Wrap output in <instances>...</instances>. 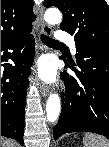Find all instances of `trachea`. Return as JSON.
<instances>
[{
  "label": "trachea",
  "mask_w": 109,
  "mask_h": 147,
  "mask_svg": "<svg viewBox=\"0 0 109 147\" xmlns=\"http://www.w3.org/2000/svg\"><path fill=\"white\" fill-rule=\"evenodd\" d=\"M42 42L46 45H58L60 44L58 41L55 39L50 38L49 36L46 35H41Z\"/></svg>",
  "instance_id": "obj_1"
}]
</instances>
